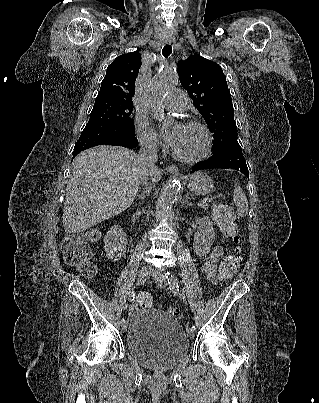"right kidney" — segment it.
<instances>
[{
	"label": "right kidney",
	"mask_w": 319,
	"mask_h": 403,
	"mask_svg": "<svg viewBox=\"0 0 319 403\" xmlns=\"http://www.w3.org/2000/svg\"><path fill=\"white\" fill-rule=\"evenodd\" d=\"M104 243L107 258L111 261H119L125 256L128 239L120 226L114 225L107 231Z\"/></svg>",
	"instance_id": "1"
}]
</instances>
